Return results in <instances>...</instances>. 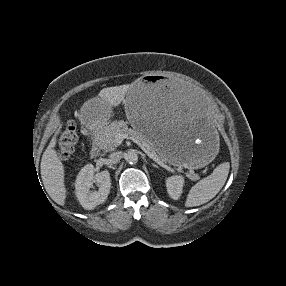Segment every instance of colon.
<instances>
[{
    "mask_svg": "<svg viewBox=\"0 0 286 286\" xmlns=\"http://www.w3.org/2000/svg\"><path fill=\"white\" fill-rule=\"evenodd\" d=\"M77 142L78 135L75 124L72 121H69L58 137V154L62 158L69 157L74 152Z\"/></svg>",
    "mask_w": 286,
    "mask_h": 286,
    "instance_id": "1",
    "label": "colon"
}]
</instances>
